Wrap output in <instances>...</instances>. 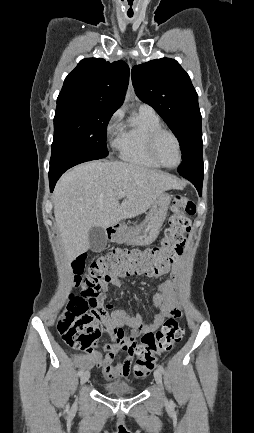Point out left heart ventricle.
Instances as JSON below:
<instances>
[{
	"label": "left heart ventricle",
	"mask_w": 254,
	"mask_h": 433,
	"mask_svg": "<svg viewBox=\"0 0 254 433\" xmlns=\"http://www.w3.org/2000/svg\"><path fill=\"white\" fill-rule=\"evenodd\" d=\"M156 153L160 161L173 166L178 161V150L174 139L168 134H161L156 143Z\"/></svg>",
	"instance_id": "left-heart-ventricle-1"
}]
</instances>
